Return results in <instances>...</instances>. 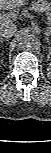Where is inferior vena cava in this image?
<instances>
[{
    "instance_id": "obj_1",
    "label": "inferior vena cava",
    "mask_w": 51,
    "mask_h": 153,
    "mask_svg": "<svg viewBox=\"0 0 51 153\" xmlns=\"http://www.w3.org/2000/svg\"><path fill=\"white\" fill-rule=\"evenodd\" d=\"M17 32V25L13 22H6L0 25V36L4 38H11Z\"/></svg>"
}]
</instances>
